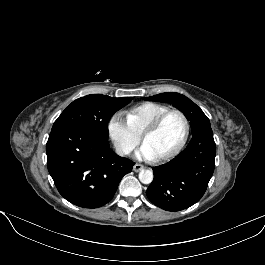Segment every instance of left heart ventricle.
Returning <instances> with one entry per match:
<instances>
[{"mask_svg": "<svg viewBox=\"0 0 265 265\" xmlns=\"http://www.w3.org/2000/svg\"><path fill=\"white\" fill-rule=\"evenodd\" d=\"M184 131L185 125L182 117L177 114L169 115L158 130L145 139L144 145L153 157L168 153L179 145Z\"/></svg>", "mask_w": 265, "mask_h": 265, "instance_id": "obj_1", "label": "left heart ventricle"}]
</instances>
